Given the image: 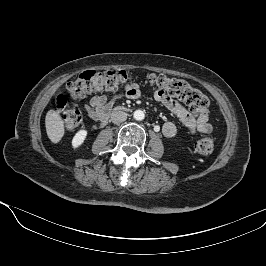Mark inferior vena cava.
Returning <instances> with one entry per match:
<instances>
[{
  "instance_id": "inferior-vena-cava-1",
  "label": "inferior vena cava",
  "mask_w": 266,
  "mask_h": 266,
  "mask_svg": "<svg viewBox=\"0 0 266 266\" xmlns=\"http://www.w3.org/2000/svg\"><path fill=\"white\" fill-rule=\"evenodd\" d=\"M127 119V113H125L124 111H114L112 114H111V121L114 123V124H120L124 121H126Z\"/></svg>"
}]
</instances>
